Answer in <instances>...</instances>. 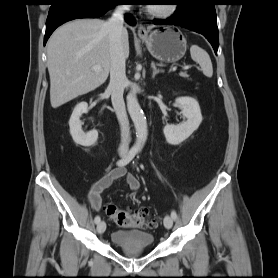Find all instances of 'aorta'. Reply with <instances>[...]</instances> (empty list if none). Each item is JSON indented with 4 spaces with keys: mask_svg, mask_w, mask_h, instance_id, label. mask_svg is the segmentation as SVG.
Listing matches in <instances>:
<instances>
[{
    "mask_svg": "<svg viewBox=\"0 0 278 278\" xmlns=\"http://www.w3.org/2000/svg\"><path fill=\"white\" fill-rule=\"evenodd\" d=\"M127 108L136 130V142L134 148L136 150H141L147 139L148 127L146 117L134 92H130L127 95Z\"/></svg>",
    "mask_w": 278,
    "mask_h": 278,
    "instance_id": "762f6f07",
    "label": "aorta"
}]
</instances>
